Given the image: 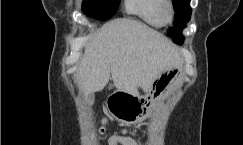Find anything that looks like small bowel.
<instances>
[{
	"instance_id": "obj_1",
	"label": "small bowel",
	"mask_w": 243,
	"mask_h": 145,
	"mask_svg": "<svg viewBox=\"0 0 243 145\" xmlns=\"http://www.w3.org/2000/svg\"><path fill=\"white\" fill-rule=\"evenodd\" d=\"M108 145H138L134 134L123 131L121 134L112 135L108 139Z\"/></svg>"
}]
</instances>
